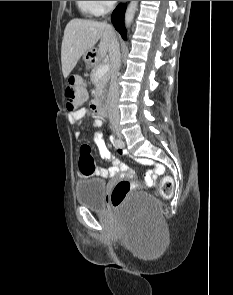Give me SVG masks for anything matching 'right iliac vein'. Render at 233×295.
Here are the masks:
<instances>
[{
  "label": "right iliac vein",
  "mask_w": 233,
  "mask_h": 295,
  "mask_svg": "<svg viewBox=\"0 0 233 295\" xmlns=\"http://www.w3.org/2000/svg\"><path fill=\"white\" fill-rule=\"evenodd\" d=\"M114 132L117 134V135H120V128L118 126H115L114 127Z\"/></svg>",
  "instance_id": "right-iliac-vein-1"
}]
</instances>
